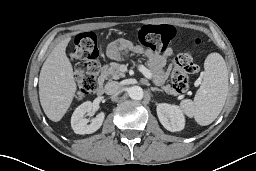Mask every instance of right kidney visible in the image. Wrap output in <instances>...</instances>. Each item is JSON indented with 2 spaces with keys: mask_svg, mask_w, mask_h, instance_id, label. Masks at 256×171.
<instances>
[{
  "mask_svg": "<svg viewBox=\"0 0 256 171\" xmlns=\"http://www.w3.org/2000/svg\"><path fill=\"white\" fill-rule=\"evenodd\" d=\"M93 110V104L86 101L78 106L71 117V127L76 134H91L97 131L104 121L105 114L100 112L96 118L88 124V119L85 118L86 114H90Z\"/></svg>",
  "mask_w": 256,
  "mask_h": 171,
  "instance_id": "right-kidney-1",
  "label": "right kidney"
}]
</instances>
